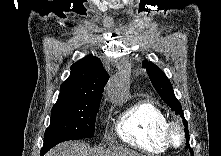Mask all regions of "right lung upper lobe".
Masks as SVG:
<instances>
[{"instance_id":"cb5924a9","label":"right lung upper lobe","mask_w":221,"mask_h":156,"mask_svg":"<svg viewBox=\"0 0 221 156\" xmlns=\"http://www.w3.org/2000/svg\"><path fill=\"white\" fill-rule=\"evenodd\" d=\"M108 79L109 75L100 59L88 55L71 66V74L62 83L56 103L101 98Z\"/></svg>"}]
</instances>
